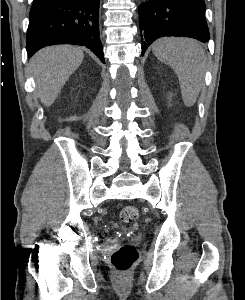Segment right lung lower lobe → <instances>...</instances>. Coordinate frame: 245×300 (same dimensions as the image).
I'll list each match as a JSON object with an SVG mask.
<instances>
[{"label": "right lung lower lobe", "instance_id": "1", "mask_svg": "<svg viewBox=\"0 0 245 300\" xmlns=\"http://www.w3.org/2000/svg\"><path fill=\"white\" fill-rule=\"evenodd\" d=\"M100 0H34L27 31V52L54 44L86 46L104 63L99 40Z\"/></svg>", "mask_w": 245, "mask_h": 300}]
</instances>
